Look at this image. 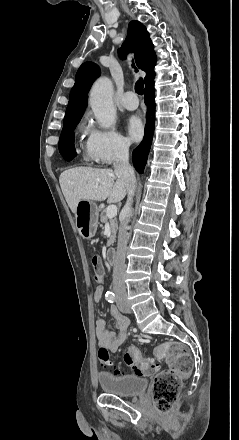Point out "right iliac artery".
<instances>
[{"label":"right iliac artery","instance_id":"right-iliac-artery-1","mask_svg":"<svg viewBox=\"0 0 239 440\" xmlns=\"http://www.w3.org/2000/svg\"><path fill=\"white\" fill-rule=\"evenodd\" d=\"M106 300L110 303H113L115 301V294L111 291H108L106 293Z\"/></svg>","mask_w":239,"mask_h":440}]
</instances>
